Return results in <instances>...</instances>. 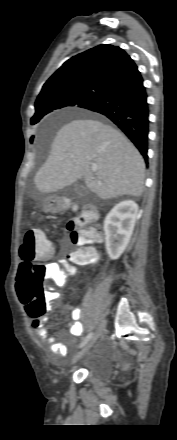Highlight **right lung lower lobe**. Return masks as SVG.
<instances>
[{"instance_id": "right-lung-lower-lobe-1", "label": "right lung lower lobe", "mask_w": 177, "mask_h": 440, "mask_svg": "<svg viewBox=\"0 0 177 440\" xmlns=\"http://www.w3.org/2000/svg\"><path fill=\"white\" fill-rule=\"evenodd\" d=\"M86 109L105 115L134 143L147 162L149 108L141 74Z\"/></svg>"}]
</instances>
